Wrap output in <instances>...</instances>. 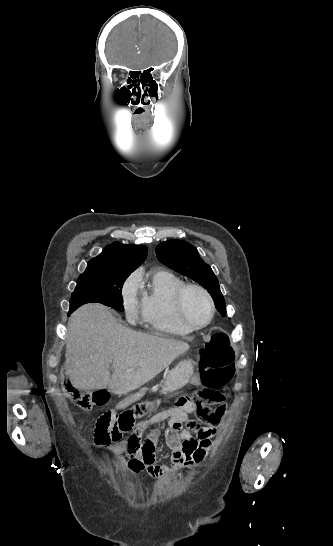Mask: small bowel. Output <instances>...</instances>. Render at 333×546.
Masks as SVG:
<instances>
[{
	"label": "small bowel",
	"instance_id": "small-bowel-1",
	"mask_svg": "<svg viewBox=\"0 0 333 546\" xmlns=\"http://www.w3.org/2000/svg\"><path fill=\"white\" fill-rule=\"evenodd\" d=\"M199 372L188 375L190 386L198 387L201 383ZM150 389L145 386L139 388L140 392H131L126 401L118 402L115 407L117 412H126L130 402L137 403L142 393ZM219 390H205L202 393V401L196 405L188 404L181 407L170 408L154 414L143 421L130 418L127 437L111 448L112 454L118 463L127 465L133 473L147 471L154 478H162L166 475L178 473L201 464L210 453L212 441L216 436V426L222 425L223 416L230 406ZM218 405L211 409L210 405ZM138 407V406H136ZM194 412L195 419L189 417ZM141 415V414H140ZM140 417V416H139ZM168 422L165 431L167 446L171 449L170 465H160L155 461V439L153 436L143 437L144 432L154 426Z\"/></svg>",
	"mask_w": 333,
	"mask_h": 546
}]
</instances>
